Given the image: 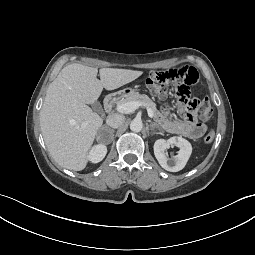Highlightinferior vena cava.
<instances>
[{
    "label": "inferior vena cava",
    "mask_w": 255,
    "mask_h": 255,
    "mask_svg": "<svg viewBox=\"0 0 255 255\" xmlns=\"http://www.w3.org/2000/svg\"><path fill=\"white\" fill-rule=\"evenodd\" d=\"M125 121L124 116L118 114H111L107 117L106 123L112 128H119Z\"/></svg>",
    "instance_id": "602c4592"
}]
</instances>
